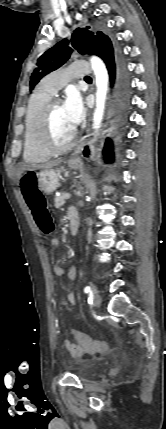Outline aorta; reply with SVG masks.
<instances>
[{"mask_svg": "<svg viewBox=\"0 0 166 429\" xmlns=\"http://www.w3.org/2000/svg\"><path fill=\"white\" fill-rule=\"evenodd\" d=\"M90 61L95 74V82L97 87L96 109L93 115V128L98 130L101 126L103 118L109 78L106 66L101 59L93 56L91 57Z\"/></svg>", "mask_w": 166, "mask_h": 429, "instance_id": "obj_1", "label": "aorta"}]
</instances>
